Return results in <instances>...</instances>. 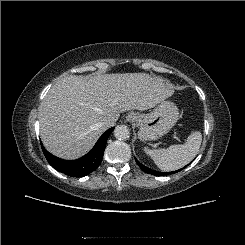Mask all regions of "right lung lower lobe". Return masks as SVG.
Returning <instances> with one entry per match:
<instances>
[{"label":"right lung lower lobe","instance_id":"98d812e1","mask_svg":"<svg viewBox=\"0 0 245 245\" xmlns=\"http://www.w3.org/2000/svg\"><path fill=\"white\" fill-rule=\"evenodd\" d=\"M113 129L114 127L108 129L99 138L93 149L88 154L76 160H61L48 153V151L43 147L42 143L41 147L47 161L53 168L71 177H83L96 170L100 165L107 139Z\"/></svg>","mask_w":245,"mask_h":245}]
</instances>
